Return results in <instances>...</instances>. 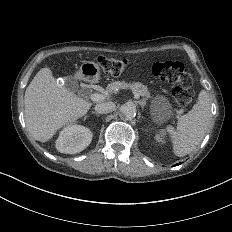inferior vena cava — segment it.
Wrapping results in <instances>:
<instances>
[{"label": "inferior vena cava", "instance_id": "inferior-vena-cava-1", "mask_svg": "<svg viewBox=\"0 0 232 232\" xmlns=\"http://www.w3.org/2000/svg\"><path fill=\"white\" fill-rule=\"evenodd\" d=\"M116 105L113 102H102L95 106V110L100 114H106L115 110Z\"/></svg>", "mask_w": 232, "mask_h": 232}]
</instances>
